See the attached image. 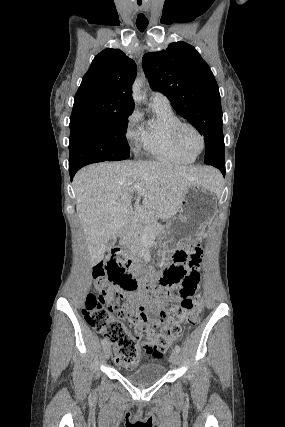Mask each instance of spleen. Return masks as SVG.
Instances as JSON below:
<instances>
[{"mask_svg":"<svg viewBox=\"0 0 285 427\" xmlns=\"http://www.w3.org/2000/svg\"><path fill=\"white\" fill-rule=\"evenodd\" d=\"M220 190H221V184H220V178H219L218 185H217V191H220Z\"/></svg>","mask_w":285,"mask_h":427,"instance_id":"spleen-1","label":"spleen"}]
</instances>
